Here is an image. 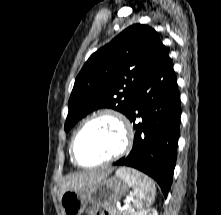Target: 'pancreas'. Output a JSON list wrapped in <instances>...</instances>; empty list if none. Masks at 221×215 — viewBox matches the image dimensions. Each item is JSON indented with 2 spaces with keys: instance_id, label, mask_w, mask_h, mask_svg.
Here are the masks:
<instances>
[{
  "instance_id": "cf45deb5",
  "label": "pancreas",
  "mask_w": 221,
  "mask_h": 215,
  "mask_svg": "<svg viewBox=\"0 0 221 215\" xmlns=\"http://www.w3.org/2000/svg\"><path fill=\"white\" fill-rule=\"evenodd\" d=\"M107 210L109 211V213L111 215H134L130 206L123 211H120V210L116 209L115 207L107 209Z\"/></svg>"
}]
</instances>
